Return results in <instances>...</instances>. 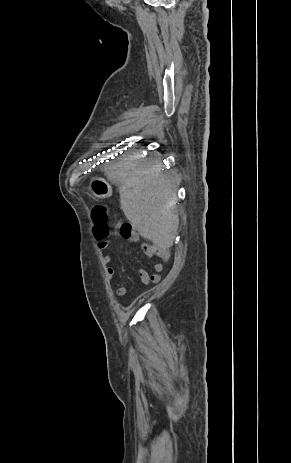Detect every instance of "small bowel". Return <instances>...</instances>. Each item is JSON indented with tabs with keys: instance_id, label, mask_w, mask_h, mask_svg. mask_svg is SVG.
Masks as SVG:
<instances>
[{
	"instance_id": "c3829d8e",
	"label": "small bowel",
	"mask_w": 291,
	"mask_h": 463,
	"mask_svg": "<svg viewBox=\"0 0 291 463\" xmlns=\"http://www.w3.org/2000/svg\"><path fill=\"white\" fill-rule=\"evenodd\" d=\"M130 241L134 242V243H140V238H139L138 234L134 233L132 235V237L130 238ZM141 247H142V250L145 253V255L153 261L154 273L149 274V272L145 268L141 267L138 270L139 280H140L141 284L144 285V286L149 285L150 283H158L161 280L160 273H161V271L163 269V264L155 256V254L153 252V249H152V247L150 245L142 243ZM99 248H101V247H99ZM101 249H104V250L108 249V242H107V245L105 247L101 248ZM103 262L106 265H108L106 267V271H105L106 277L108 279H113L116 276V269L113 266H109L113 262L112 257L109 256V255H104L103 256ZM127 294H128V288L125 287V286H120L116 290V295L118 297H120V298L127 296Z\"/></svg>"
}]
</instances>
